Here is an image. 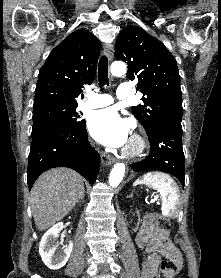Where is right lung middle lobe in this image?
<instances>
[{
    "instance_id": "obj_1",
    "label": "right lung middle lobe",
    "mask_w": 221,
    "mask_h": 278,
    "mask_svg": "<svg viewBox=\"0 0 221 278\" xmlns=\"http://www.w3.org/2000/svg\"><path fill=\"white\" fill-rule=\"evenodd\" d=\"M77 104L46 102L34 106L31 136L54 128L73 129L85 121L76 112Z\"/></svg>"
}]
</instances>
